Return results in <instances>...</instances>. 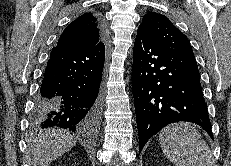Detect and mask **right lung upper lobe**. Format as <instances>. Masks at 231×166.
I'll return each instance as SVG.
<instances>
[{
    "label": "right lung upper lobe",
    "mask_w": 231,
    "mask_h": 166,
    "mask_svg": "<svg viewBox=\"0 0 231 166\" xmlns=\"http://www.w3.org/2000/svg\"><path fill=\"white\" fill-rule=\"evenodd\" d=\"M105 30L102 21L88 12L70 23L61 34L57 46L89 48L103 43Z\"/></svg>",
    "instance_id": "1"
}]
</instances>
